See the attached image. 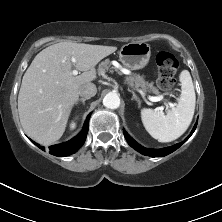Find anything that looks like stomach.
<instances>
[{
    "instance_id": "1",
    "label": "stomach",
    "mask_w": 222,
    "mask_h": 222,
    "mask_svg": "<svg viewBox=\"0 0 222 222\" xmlns=\"http://www.w3.org/2000/svg\"><path fill=\"white\" fill-rule=\"evenodd\" d=\"M151 56V47L146 42H131L121 47L120 62L132 70L145 67Z\"/></svg>"
}]
</instances>
